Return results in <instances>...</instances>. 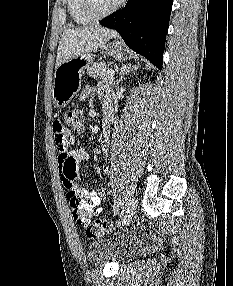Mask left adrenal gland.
I'll use <instances>...</instances> for the list:
<instances>
[{
	"mask_svg": "<svg viewBox=\"0 0 233 286\" xmlns=\"http://www.w3.org/2000/svg\"><path fill=\"white\" fill-rule=\"evenodd\" d=\"M138 67H139V65H133V66H131V64L122 65V67L119 70V79L117 80L116 85L118 86L120 84V82L123 80V78L129 72L137 70Z\"/></svg>",
	"mask_w": 233,
	"mask_h": 286,
	"instance_id": "left-adrenal-gland-1",
	"label": "left adrenal gland"
}]
</instances>
